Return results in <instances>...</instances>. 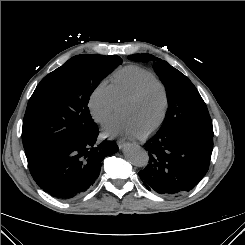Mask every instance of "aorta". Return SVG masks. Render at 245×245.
Masks as SVG:
<instances>
[{"label":"aorta","mask_w":245,"mask_h":245,"mask_svg":"<svg viewBox=\"0 0 245 245\" xmlns=\"http://www.w3.org/2000/svg\"><path fill=\"white\" fill-rule=\"evenodd\" d=\"M123 153L125 158L136 167H144L148 164V152L137 144H127Z\"/></svg>","instance_id":"762f6f07"}]
</instances>
